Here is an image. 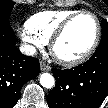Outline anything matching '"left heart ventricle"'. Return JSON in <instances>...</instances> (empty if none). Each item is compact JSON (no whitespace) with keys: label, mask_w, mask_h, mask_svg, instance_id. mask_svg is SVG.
<instances>
[{"label":"left heart ventricle","mask_w":108,"mask_h":108,"mask_svg":"<svg viewBox=\"0 0 108 108\" xmlns=\"http://www.w3.org/2000/svg\"><path fill=\"white\" fill-rule=\"evenodd\" d=\"M96 25L92 17L83 15L67 29L56 46L57 53L64 58H75L83 54L92 44Z\"/></svg>","instance_id":"b2bd125f"}]
</instances>
